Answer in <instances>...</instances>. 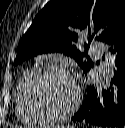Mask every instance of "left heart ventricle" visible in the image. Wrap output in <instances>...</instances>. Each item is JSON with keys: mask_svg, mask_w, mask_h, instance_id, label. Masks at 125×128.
<instances>
[{"mask_svg": "<svg viewBox=\"0 0 125 128\" xmlns=\"http://www.w3.org/2000/svg\"><path fill=\"white\" fill-rule=\"evenodd\" d=\"M36 102L47 112L60 113L75 100L76 89L72 80L61 74L42 76L33 86Z\"/></svg>", "mask_w": 125, "mask_h": 128, "instance_id": "b2bd125f", "label": "left heart ventricle"}]
</instances>
